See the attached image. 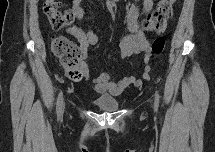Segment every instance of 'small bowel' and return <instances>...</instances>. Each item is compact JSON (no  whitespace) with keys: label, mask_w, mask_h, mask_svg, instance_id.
Listing matches in <instances>:
<instances>
[{"label":"small bowel","mask_w":215,"mask_h":152,"mask_svg":"<svg viewBox=\"0 0 215 152\" xmlns=\"http://www.w3.org/2000/svg\"><path fill=\"white\" fill-rule=\"evenodd\" d=\"M82 3L83 2L81 0H75L73 2V11L80 20L84 17ZM153 6V0L142 1L143 11L147 14L151 12ZM138 17L139 6L136 3H133L129 8L126 17L129 34L124 36L119 44L118 57L121 59H126L134 54L148 55L150 52L149 40L139 27ZM67 32L79 41L84 59L88 56L89 47L95 46L99 42L98 35L92 29L83 31L78 26L72 25L67 28ZM149 71L150 68L146 65L142 70V78H138L136 70H133L129 75L122 79H116L111 72H103L97 78H92L86 63L84 62L82 77L86 80L92 81L99 94L119 95L130 86H141L144 81L149 79Z\"/></svg>","instance_id":"c3829d8e"}]
</instances>
